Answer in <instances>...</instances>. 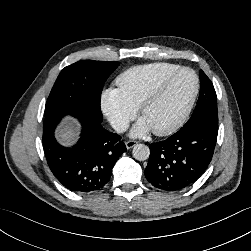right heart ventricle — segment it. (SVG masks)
Returning <instances> with one entry per match:
<instances>
[{"label": "right heart ventricle", "instance_id": "right-heart-ventricle-1", "mask_svg": "<svg viewBox=\"0 0 251 251\" xmlns=\"http://www.w3.org/2000/svg\"><path fill=\"white\" fill-rule=\"evenodd\" d=\"M179 68V65L168 62H155L135 66L122 72L115 82L118 86V91L127 103L138 109L140 103L152 87L166 75Z\"/></svg>", "mask_w": 251, "mask_h": 251}]
</instances>
